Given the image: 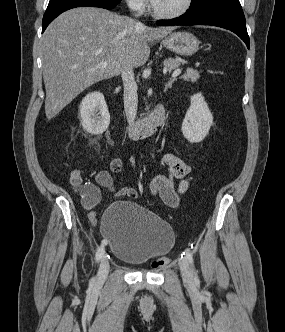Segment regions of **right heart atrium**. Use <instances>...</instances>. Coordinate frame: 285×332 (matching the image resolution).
<instances>
[{"label":"right heart atrium","mask_w":285,"mask_h":332,"mask_svg":"<svg viewBox=\"0 0 285 332\" xmlns=\"http://www.w3.org/2000/svg\"><path fill=\"white\" fill-rule=\"evenodd\" d=\"M128 7L135 12H142L147 6V0H125Z\"/></svg>","instance_id":"right-heart-atrium-1"}]
</instances>
